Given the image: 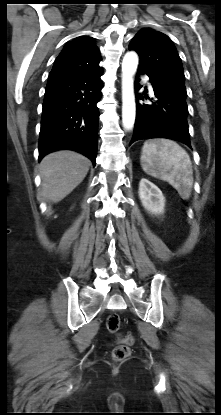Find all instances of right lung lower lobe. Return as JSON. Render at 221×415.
<instances>
[{"label":"right lung lower lobe","instance_id":"98d812e1","mask_svg":"<svg viewBox=\"0 0 221 415\" xmlns=\"http://www.w3.org/2000/svg\"><path fill=\"white\" fill-rule=\"evenodd\" d=\"M102 70L50 80L45 89L39 160L46 154L70 149L96 164Z\"/></svg>","mask_w":221,"mask_h":415}]
</instances>
